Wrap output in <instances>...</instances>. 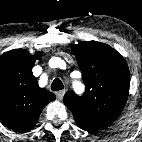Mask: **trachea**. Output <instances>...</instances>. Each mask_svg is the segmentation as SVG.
Masks as SVG:
<instances>
[{
  "instance_id": "trachea-1",
  "label": "trachea",
  "mask_w": 142,
  "mask_h": 142,
  "mask_svg": "<svg viewBox=\"0 0 142 142\" xmlns=\"http://www.w3.org/2000/svg\"><path fill=\"white\" fill-rule=\"evenodd\" d=\"M63 88H64V85L62 81L58 78H55L51 84V90L59 91V90H62Z\"/></svg>"
}]
</instances>
